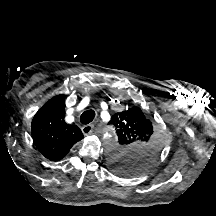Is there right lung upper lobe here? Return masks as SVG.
<instances>
[{
  "label": "right lung upper lobe",
  "instance_id": "cb5924a9",
  "mask_svg": "<svg viewBox=\"0 0 216 216\" xmlns=\"http://www.w3.org/2000/svg\"><path fill=\"white\" fill-rule=\"evenodd\" d=\"M64 95L44 104L32 120V138L38 150L49 160H61L83 138L76 125L65 123Z\"/></svg>",
  "mask_w": 216,
  "mask_h": 216
}]
</instances>
